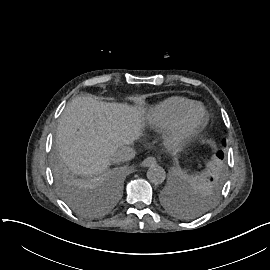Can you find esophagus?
Returning <instances> with one entry per match:
<instances>
[{
	"label": "esophagus",
	"mask_w": 270,
	"mask_h": 270,
	"mask_svg": "<svg viewBox=\"0 0 270 270\" xmlns=\"http://www.w3.org/2000/svg\"><path fill=\"white\" fill-rule=\"evenodd\" d=\"M156 164H157V160L155 157H147L142 162V166L144 167H152V166H155Z\"/></svg>",
	"instance_id": "1"
}]
</instances>
